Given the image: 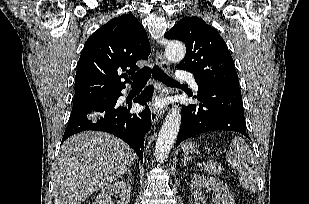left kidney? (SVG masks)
<instances>
[{"label": "left kidney", "instance_id": "left-kidney-1", "mask_svg": "<svg viewBox=\"0 0 309 204\" xmlns=\"http://www.w3.org/2000/svg\"><path fill=\"white\" fill-rule=\"evenodd\" d=\"M190 187L194 199L197 201L205 199V194L202 190L206 188L209 191L215 192V204H236L227 185L215 177L194 175Z\"/></svg>", "mask_w": 309, "mask_h": 204}]
</instances>
